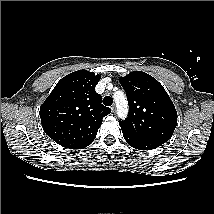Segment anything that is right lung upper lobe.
Here are the masks:
<instances>
[{
	"label": "right lung upper lobe",
	"mask_w": 214,
	"mask_h": 214,
	"mask_svg": "<svg viewBox=\"0 0 214 214\" xmlns=\"http://www.w3.org/2000/svg\"><path fill=\"white\" fill-rule=\"evenodd\" d=\"M101 76L87 70L62 78L40 107L43 130L59 145L83 149L91 144L111 109L101 104L95 86Z\"/></svg>",
	"instance_id": "obj_1"
}]
</instances>
